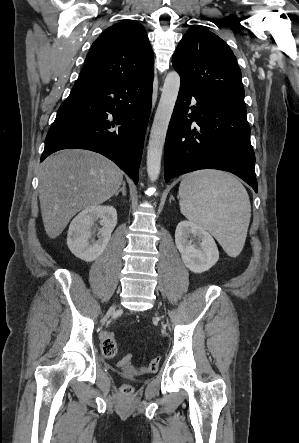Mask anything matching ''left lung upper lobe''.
<instances>
[{
	"mask_svg": "<svg viewBox=\"0 0 299 443\" xmlns=\"http://www.w3.org/2000/svg\"><path fill=\"white\" fill-rule=\"evenodd\" d=\"M181 81L229 104L245 108L241 71L229 46L203 26H193L172 58Z\"/></svg>",
	"mask_w": 299,
	"mask_h": 443,
	"instance_id": "5c2ea615",
	"label": "left lung upper lobe"
}]
</instances>
